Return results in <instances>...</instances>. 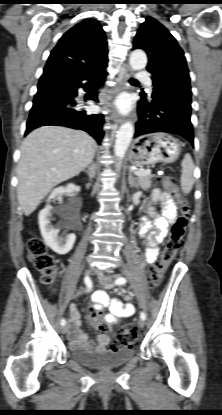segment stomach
<instances>
[{
  "instance_id": "1",
  "label": "stomach",
  "mask_w": 222,
  "mask_h": 415,
  "mask_svg": "<svg viewBox=\"0 0 222 415\" xmlns=\"http://www.w3.org/2000/svg\"><path fill=\"white\" fill-rule=\"evenodd\" d=\"M181 153L180 143L163 132L150 133L135 139L129 161L135 166L151 165L158 162H173Z\"/></svg>"
}]
</instances>
